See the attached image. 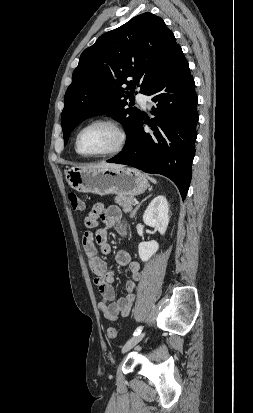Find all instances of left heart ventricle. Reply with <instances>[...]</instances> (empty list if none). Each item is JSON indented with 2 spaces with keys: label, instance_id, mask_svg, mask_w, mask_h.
<instances>
[{
  "label": "left heart ventricle",
  "instance_id": "left-heart-ventricle-1",
  "mask_svg": "<svg viewBox=\"0 0 253 413\" xmlns=\"http://www.w3.org/2000/svg\"><path fill=\"white\" fill-rule=\"evenodd\" d=\"M118 135L111 127L97 124L85 129L79 139V149L84 154H98L113 149Z\"/></svg>",
  "mask_w": 253,
  "mask_h": 413
}]
</instances>
